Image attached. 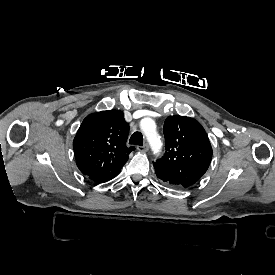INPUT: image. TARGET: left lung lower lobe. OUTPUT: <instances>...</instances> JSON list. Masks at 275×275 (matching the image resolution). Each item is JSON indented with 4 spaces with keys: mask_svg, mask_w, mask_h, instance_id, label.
Segmentation results:
<instances>
[{
    "mask_svg": "<svg viewBox=\"0 0 275 275\" xmlns=\"http://www.w3.org/2000/svg\"><path fill=\"white\" fill-rule=\"evenodd\" d=\"M156 175L159 179L175 188H182V186L167 172L154 163Z\"/></svg>",
    "mask_w": 275,
    "mask_h": 275,
    "instance_id": "obj_1",
    "label": "left lung lower lobe"
}]
</instances>
